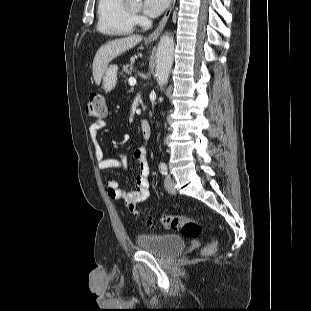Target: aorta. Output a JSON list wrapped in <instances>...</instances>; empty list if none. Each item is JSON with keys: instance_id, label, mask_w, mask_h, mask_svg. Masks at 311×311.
Returning a JSON list of instances; mask_svg holds the SVG:
<instances>
[{"instance_id": "obj_1", "label": "aorta", "mask_w": 311, "mask_h": 311, "mask_svg": "<svg viewBox=\"0 0 311 311\" xmlns=\"http://www.w3.org/2000/svg\"><path fill=\"white\" fill-rule=\"evenodd\" d=\"M174 60V39L164 34L158 43L156 51V77L160 88L168 83L169 74Z\"/></svg>"}]
</instances>
